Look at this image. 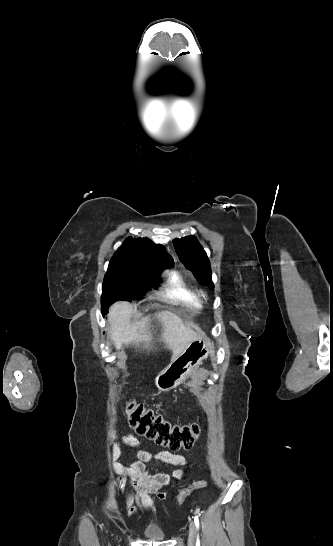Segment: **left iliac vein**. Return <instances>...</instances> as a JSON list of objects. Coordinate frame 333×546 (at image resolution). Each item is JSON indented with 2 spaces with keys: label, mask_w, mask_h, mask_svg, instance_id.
I'll return each instance as SVG.
<instances>
[{
  "label": "left iliac vein",
  "mask_w": 333,
  "mask_h": 546,
  "mask_svg": "<svg viewBox=\"0 0 333 546\" xmlns=\"http://www.w3.org/2000/svg\"><path fill=\"white\" fill-rule=\"evenodd\" d=\"M188 546H196V528L193 522L189 526Z\"/></svg>",
  "instance_id": "obj_1"
}]
</instances>
